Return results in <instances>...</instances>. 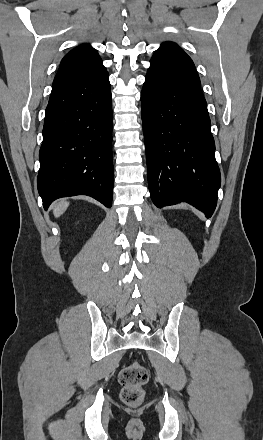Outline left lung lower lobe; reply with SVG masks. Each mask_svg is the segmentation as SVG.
<instances>
[{"label": "left lung lower lobe", "instance_id": "1", "mask_svg": "<svg viewBox=\"0 0 263 440\" xmlns=\"http://www.w3.org/2000/svg\"><path fill=\"white\" fill-rule=\"evenodd\" d=\"M141 102L152 201L157 207L188 202L210 217L221 183L215 143L199 76L177 44L151 59Z\"/></svg>", "mask_w": 263, "mask_h": 440}]
</instances>
